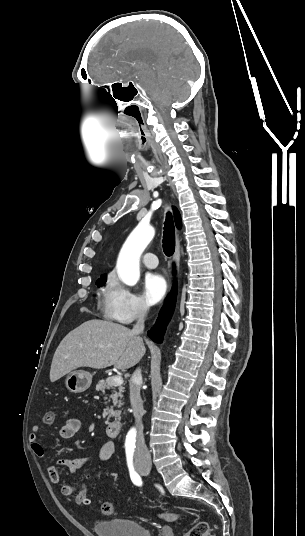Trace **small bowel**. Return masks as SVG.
Instances as JSON below:
<instances>
[{"label":"small bowel","mask_w":305,"mask_h":536,"mask_svg":"<svg viewBox=\"0 0 305 536\" xmlns=\"http://www.w3.org/2000/svg\"><path fill=\"white\" fill-rule=\"evenodd\" d=\"M82 422L79 418H70L66 421L65 425L59 430V436L62 439H70L73 438L81 429ZM42 427H32L31 433L29 436L30 440V447L33 451V453L39 457L44 458L45 457V451L41 443L39 442L38 435L41 432ZM114 452V444L112 442H105L99 453L98 458L100 461H107L110 459ZM92 460L91 457H82V458H69V457H63L58 459L57 465L61 466L63 468H66L72 473H75L88 463H90ZM46 472L48 475V478L51 482L57 483L59 482V472L55 465L53 464H47L46 465ZM75 493V486L72 484H64L61 487V494L63 496H71Z\"/></svg>","instance_id":"1"}]
</instances>
